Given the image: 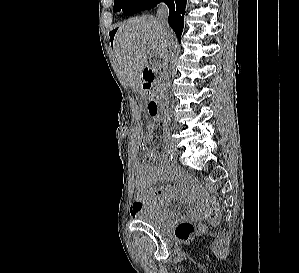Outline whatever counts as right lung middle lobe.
<instances>
[{
  "instance_id": "1",
  "label": "right lung middle lobe",
  "mask_w": 299,
  "mask_h": 273,
  "mask_svg": "<svg viewBox=\"0 0 299 273\" xmlns=\"http://www.w3.org/2000/svg\"><path fill=\"white\" fill-rule=\"evenodd\" d=\"M136 1L137 0H114L113 11L117 12L122 10L125 13Z\"/></svg>"
}]
</instances>
